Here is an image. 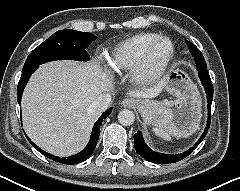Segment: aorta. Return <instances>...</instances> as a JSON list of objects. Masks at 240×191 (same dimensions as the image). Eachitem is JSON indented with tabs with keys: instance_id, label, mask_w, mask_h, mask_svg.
I'll list each match as a JSON object with an SVG mask.
<instances>
[{
	"instance_id": "aorta-1",
	"label": "aorta",
	"mask_w": 240,
	"mask_h": 191,
	"mask_svg": "<svg viewBox=\"0 0 240 191\" xmlns=\"http://www.w3.org/2000/svg\"><path fill=\"white\" fill-rule=\"evenodd\" d=\"M118 121L124 126H130L135 121V115L131 110L123 109L118 114Z\"/></svg>"
}]
</instances>
